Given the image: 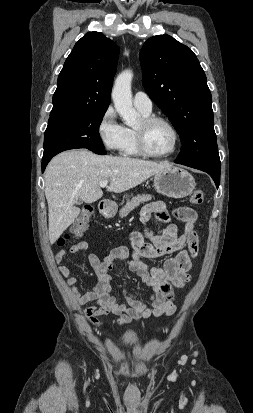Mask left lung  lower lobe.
<instances>
[{
	"mask_svg": "<svg viewBox=\"0 0 253 413\" xmlns=\"http://www.w3.org/2000/svg\"><path fill=\"white\" fill-rule=\"evenodd\" d=\"M176 163H179L175 160ZM182 165H186L192 168H196L199 170H202L204 172H207L214 180L216 187H219L220 183V170H221V165H212V164H187V163H179Z\"/></svg>",
	"mask_w": 253,
	"mask_h": 413,
	"instance_id": "1",
	"label": "left lung lower lobe"
}]
</instances>
